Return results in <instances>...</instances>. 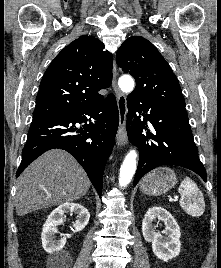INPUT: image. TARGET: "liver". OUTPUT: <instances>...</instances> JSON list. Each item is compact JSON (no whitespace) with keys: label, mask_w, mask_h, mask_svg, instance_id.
Listing matches in <instances>:
<instances>
[{"label":"liver","mask_w":221,"mask_h":268,"mask_svg":"<svg viewBox=\"0 0 221 268\" xmlns=\"http://www.w3.org/2000/svg\"><path fill=\"white\" fill-rule=\"evenodd\" d=\"M84 169L66 151L53 149L32 162L16 185V213L32 211L80 199L90 188Z\"/></svg>","instance_id":"1"}]
</instances>
